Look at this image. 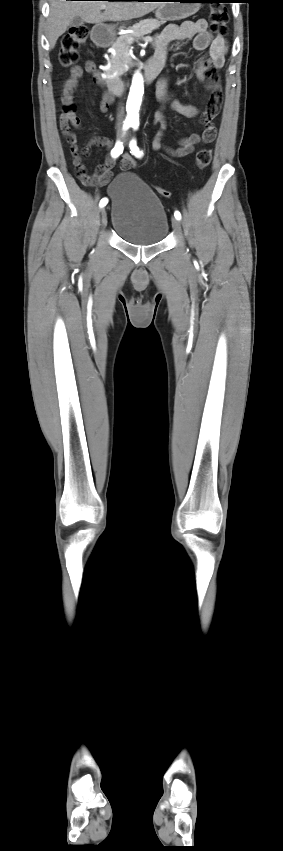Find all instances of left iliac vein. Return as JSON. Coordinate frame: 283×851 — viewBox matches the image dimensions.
Instances as JSON below:
<instances>
[{"label":"left iliac vein","instance_id":"4c4485c4","mask_svg":"<svg viewBox=\"0 0 283 851\" xmlns=\"http://www.w3.org/2000/svg\"><path fill=\"white\" fill-rule=\"evenodd\" d=\"M172 227L176 233H180L181 227L178 219L172 218Z\"/></svg>","mask_w":283,"mask_h":851}]
</instances>
